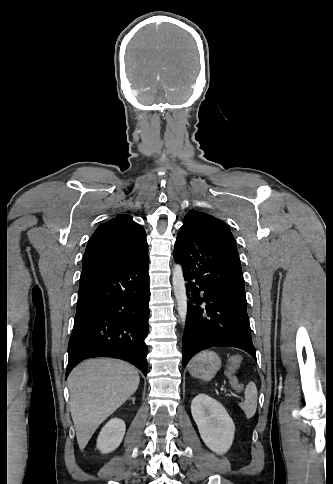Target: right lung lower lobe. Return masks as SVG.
Listing matches in <instances>:
<instances>
[{"label": "right lung lower lobe", "instance_id": "right-lung-lower-lobe-1", "mask_svg": "<svg viewBox=\"0 0 333 484\" xmlns=\"http://www.w3.org/2000/svg\"><path fill=\"white\" fill-rule=\"evenodd\" d=\"M148 268V252L125 263L83 267L66 377L80 361L101 356L121 358L147 374Z\"/></svg>", "mask_w": 333, "mask_h": 484}]
</instances>
